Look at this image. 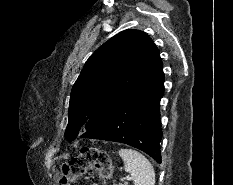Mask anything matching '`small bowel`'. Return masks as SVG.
<instances>
[{
  "label": "small bowel",
  "instance_id": "c3829d8e",
  "mask_svg": "<svg viewBox=\"0 0 233 185\" xmlns=\"http://www.w3.org/2000/svg\"><path fill=\"white\" fill-rule=\"evenodd\" d=\"M91 185H100V184H98V183H93V184H91Z\"/></svg>",
  "mask_w": 233,
  "mask_h": 185
}]
</instances>
